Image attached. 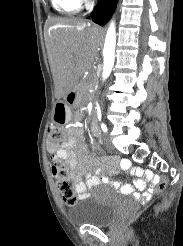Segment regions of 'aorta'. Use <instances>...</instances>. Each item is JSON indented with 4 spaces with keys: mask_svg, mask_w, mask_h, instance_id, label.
I'll use <instances>...</instances> for the list:
<instances>
[{
    "mask_svg": "<svg viewBox=\"0 0 183 246\" xmlns=\"http://www.w3.org/2000/svg\"><path fill=\"white\" fill-rule=\"evenodd\" d=\"M115 47H116V28L114 21H111L109 28L107 30L104 48H103V81L106 80L113 68L115 61Z\"/></svg>",
    "mask_w": 183,
    "mask_h": 246,
    "instance_id": "aorta-1",
    "label": "aorta"
}]
</instances>
